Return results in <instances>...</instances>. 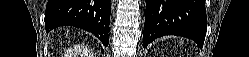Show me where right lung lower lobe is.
I'll return each mask as SVG.
<instances>
[{"mask_svg":"<svg viewBox=\"0 0 249 57\" xmlns=\"http://www.w3.org/2000/svg\"><path fill=\"white\" fill-rule=\"evenodd\" d=\"M110 0H49L45 11L46 31L64 25L93 33L108 46Z\"/></svg>","mask_w":249,"mask_h":57,"instance_id":"obj_1","label":"right lung lower lobe"}]
</instances>
